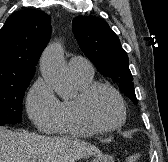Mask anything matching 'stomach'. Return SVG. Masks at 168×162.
Listing matches in <instances>:
<instances>
[{"label":"stomach","instance_id":"stomach-1","mask_svg":"<svg viewBox=\"0 0 168 162\" xmlns=\"http://www.w3.org/2000/svg\"><path fill=\"white\" fill-rule=\"evenodd\" d=\"M90 162H114V160L110 155L98 154Z\"/></svg>","mask_w":168,"mask_h":162}]
</instances>
